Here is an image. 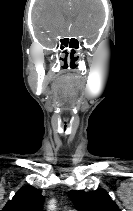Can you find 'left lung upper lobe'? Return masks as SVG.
<instances>
[{"mask_svg": "<svg viewBox=\"0 0 133 211\" xmlns=\"http://www.w3.org/2000/svg\"><path fill=\"white\" fill-rule=\"evenodd\" d=\"M69 195L78 211H121L104 189L71 190Z\"/></svg>", "mask_w": 133, "mask_h": 211, "instance_id": "obj_1", "label": "left lung upper lobe"}]
</instances>
